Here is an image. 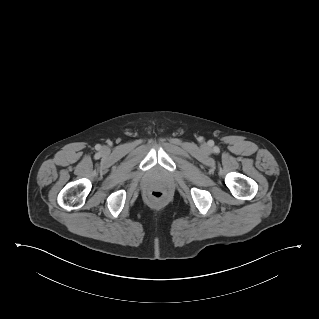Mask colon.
Here are the masks:
<instances>
[{
  "instance_id": "5ec220e1",
  "label": "colon",
  "mask_w": 319,
  "mask_h": 319,
  "mask_svg": "<svg viewBox=\"0 0 319 319\" xmlns=\"http://www.w3.org/2000/svg\"><path fill=\"white\" fill-rule=\"evenodd\" d=\"M164 197L165 193L160 189H155L150 193V198L156 202L163 200Z\"/></svg>"
}]
</instances>
